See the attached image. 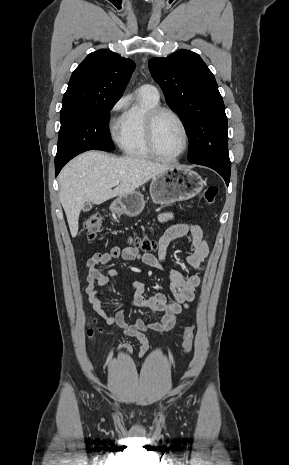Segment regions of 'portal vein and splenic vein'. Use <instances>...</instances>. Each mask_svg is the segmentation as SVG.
Here are the masks:
<instances>
[{"mask_svg": "<svg viewBox=\"0 0 289 465\" xmlns=\"http://www.w3.org/2000/svg\"><path fill=\"white\" fill-rule=\"evenodd\" d=\"M118 184H119V181L116 180V181H114V182L111 184V187H115V186H117Z\"/></svg>", "mask_w": 289, "mask_h": 465, "instance_id": "1", "label": "portal vein and splenic vein"}]
</instances>
